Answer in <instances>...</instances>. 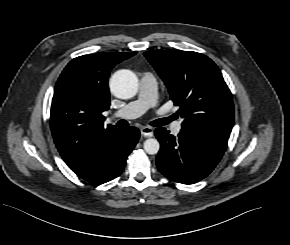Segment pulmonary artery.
Wrapping results in <instances>:
<instances>
[{
  "label": "pulmonary artery",
  "instance_id": "1",
  "mask_svg": "<svg viewBox=\"0 0 290 245\" xmlns=\"http://www.w3.org/2000/svg\"><path fill=\"white\" fill-rule=\"evenodd\" d=\"M157 80L151 73H144L140 77L139 92L135 100L127 103L113 113L114 118H136L152 108L157 103ZM159 112V109H158ZM175 134L181 130V122H176L172 128Z\"/></svg>",
  "mask_w": 290,
  "mask_h": 245
}]
</instances>
